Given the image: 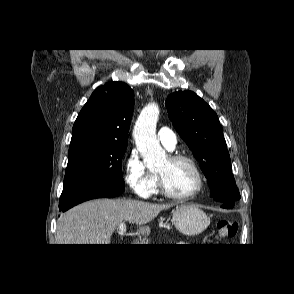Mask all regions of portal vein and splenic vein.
<instances>
[{
    "mask_svg": "<svg viewBox=\"0 0 294 294\" xmlns=\"http://www.w3.org/2000/svg\"><path fill=\"white\" fill-rule=\"evenodd\" d=\"M119 229V235L123 236L126 232V225L124 223H120L118 226Z\"/></svg>",
    "mask_w": 294,
    "mask_h": 294,
    "instance_id": "1",
    "label": "portal vein and splenic vein"
}]
</instances>
